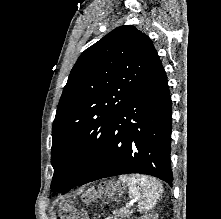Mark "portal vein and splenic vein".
<instances>
[{
  "label": "portal vein and splenic vein",
  "mask_w": 221,
  "mask_h": 219,
  "mask_svg": "<svg viewBox=\"0 0 221 219\" xmlns=\"http://www.w3.org/2000/svg\"><path fill=\"white\" fill-rule=\"evenodd\" d=\"M132 206V203H127L126 207L130 208Z\"/></svg>",
  "instance_id": "obj_1"
}]
</instances>
